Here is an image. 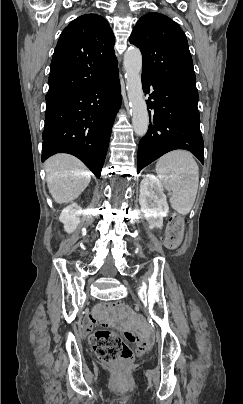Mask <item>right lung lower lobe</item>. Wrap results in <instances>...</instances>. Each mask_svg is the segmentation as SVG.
Instances as JSON below:
<instances>
[{
	"label": "right lung lower lobe",
	"instance_id": "98d812e1",
	"mask_svg": "<svg viewBox=\"0 0 243 404\" xmlns=\"http://www.w3.org/2000/svg\"><path fill=\"white\" fill-rule=\"evenodd\" d=\"M42 161L78 157L100 178L121 95L118 70L80 90L46 99Z\"/></svg>",
	"mask_w": 243,
	"mask_h": 404
}]
</instances>
